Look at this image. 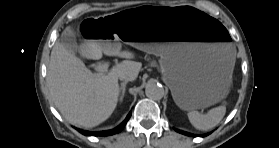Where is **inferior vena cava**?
Listing matches in <instances>:
<instances>
[{
  "instance_id": "1",
  "label": "inferior vena cava",
  "mask_w": 279,
  "mask_h": 148,
  "mask_svg": "<svg viewBox=\"0 0 279 148\" xmlns=\"http://www.w3.org/2000/svg\"><path fill=\"white\" fill-rule=\"evenodd\" d=\"M120 80H122V81H126V82H128V81H132V79L130 78V77H127V76H121L120 78H119Z\"/></svg>"
}]
</instances>
